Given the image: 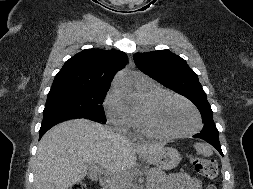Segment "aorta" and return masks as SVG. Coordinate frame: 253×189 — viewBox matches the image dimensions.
I'll list each match as a JSON object with an SVG mask.
<instances>
[{
    "label": "aorta",
    "mask_w": 253,
    "mask_h": 189,
    "mask_svg": "<svg viewBox=\"0 0 253 189\" xmlns=\"http://www.w3.org/2000/svg\"><path fill=\"white\" fill-rule=\"evenodd\" d=\"M116 88L123 94L129 104H135L138 101L137 93L129 79L119 76L115 80Z\"/></svg>",
    "instance_id": "1"
}]
</instances>
